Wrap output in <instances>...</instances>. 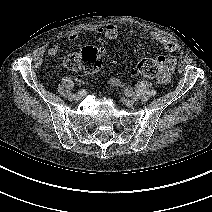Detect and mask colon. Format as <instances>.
I'll list each match as a JSON object with an SVG mask.
<instances>
[{
    "instance_id": "obj_1",
    "label": "colon",
    "mask_w": 212,
    "mask_h": 212,
    "mask_svg": "<svg viewBox=\"0 0 212 212\" xmlns=\"http://www.w3.org/2000/svg\"><path fill=\"white\" fill-rule=\"evenodd\" d=\"M164 64L165 61L160 56L156 58H142L137 62L135 72L144 77L157 78L159 80L163 74ZM64 65L72 72H96L101 65L100 52L95 47H86L83 52L66 57Z\"/></svg>"
}]
</instances>
